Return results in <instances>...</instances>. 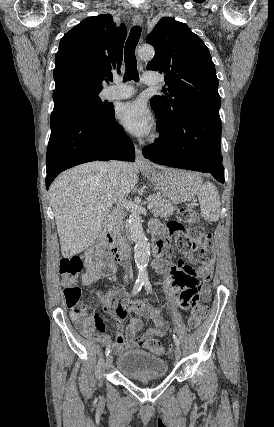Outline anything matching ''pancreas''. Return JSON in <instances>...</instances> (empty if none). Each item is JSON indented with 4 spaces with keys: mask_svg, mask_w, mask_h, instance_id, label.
Here are the masks:
<instances>
[{
    "mask_svg": "<svg viewBox=\"0 0 274 427\" xmlns=\"http://www.w3.org/2000/svg\"><path fill=\"white\" fill-rule=\"evenodd\" d=\"M152 204L154 206L152 214L154 217H170L176 210V206H173L174 202L171 200H165L161 196H152ZM126 214L124 212H117V214L112 215L113 223L110 231L114 239H120L121 235V225L123 223L122 219Z\"/></svg>",
    "mask_w": 274,
    "mask_h": 427,
    "instance_id": "cf45deb5",
    "label": "pancreas"
}]
</instances>
